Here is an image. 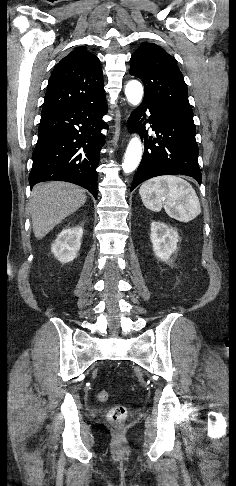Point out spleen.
I'll list each match as a JSON object with an SVG mask.
<instances>
[{
  "mask_svg": "<svg viewBox=\"0 0 236 486\" xmlns=\"http://www.w3.org/2000/svg\"><path fill=\"white\" fill-rule=\"evenodd\" d=\"M139 194L148 209L159 212L164 207L170 216L182 222H189L201 213L195 190L178 176L152 178L141 185Z\"/></svg>",
  "mask_w": 236,
  "mask_h": 486,
  "instance_id": "obj_1",
  "label": "spleen"
}]
</instances>
